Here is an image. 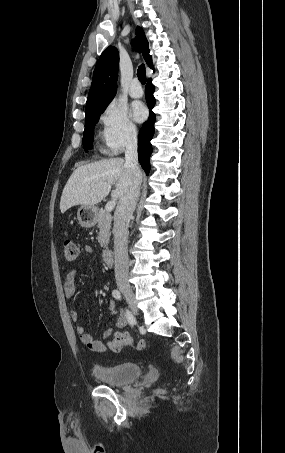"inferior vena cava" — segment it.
Segmentation results:
<instances>
[{
  "mask_svg": "<svg viewBox=\"0 0 285 453\" xmlns=\"http://www.w3.org/2000/svg\"><path fill=\"white\" fill-rule=\"evenodd\" d=\"M125 163L133 171V182L128 193L119 200L114 214V258L117 283L128 281V227L140 195L142 179L138 163L137 132L133 130L127 137Z\"/></svg>",
  "mask_w": 285,
  "mask_h": 453,
  "instance_id": "1",
  "label": "inferior vena cava"
}]
</instances>
